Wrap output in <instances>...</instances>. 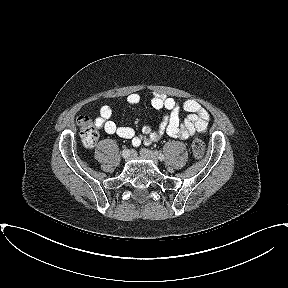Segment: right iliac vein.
<instances>
[{
    "mask_svg": "<svg viewBox=\"0 0 288 288\" xmlns=\"http://www.w3.org/2000/svg\"><path fill=\"white\" fill-rule=\"evenodd\" d=\"M128 151H129V150H128ZM129 154H130V159L133 158L134 155H135L134 152H132V151H129Z\"/></svg>",
    "mask_w": 288,
    "mask_h": 288,
    "instance_id": "1",
    "label": "right iliac vein"
}]
</instances>
